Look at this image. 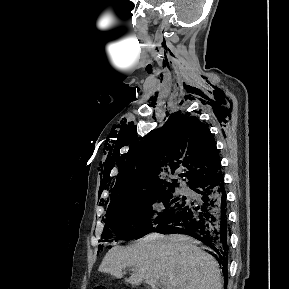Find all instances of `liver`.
I'll list each match as a JSON object with an SVG mask.
<instances>
[{
    "label": "liver",
    "mask_w": 289,
    "mask_h": 289,
    "mask_svg": "<svg viewBox=\"0 0 289 289\" xmlns=\"http://www.w3.org/2000/svg\"><path fill=\"white\" fill-rule=\"evenodd\" d=\"M134 267L128 282L149 284L158 289H222L217 261L184 235L152 233L128 247H113L105 255L99 271L116 278L126 267Z\"/></svg>",
    "instance_id": "obj_1"
}]
</instances>
